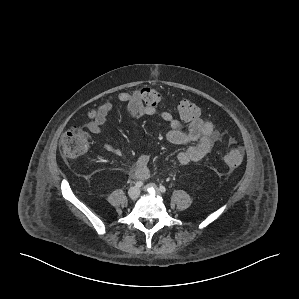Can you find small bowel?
I'll list each match as a JSON object with an SVG mask.
<instances>
[{
	"instance_id": "c3829d8e",
	"label": "small bowel",
	"mask_w": 299,
	"mask_h": 299,
	"mask_svg": "<svg viewBox=\"0 0 299 299\" xmlns=\"http://www.w3.org/2000/svg\"><path fill=\"white\" fill-rule=\"evenodd\" d=\"M116 100L126 105L129 115L134 119H140L144 116H157L164 120L169 127L166 134L167 140L173 144L187 146L177 155V161L181 165L200 161L210 153L220 139V134L215 130L210 120L199 116L184 126L170 112L159 110L157 106L147 105L141 98L140 89L121 92L117 95ZM114 106V100L108 98L97 108L93 120L88 124L90 132L98 134L101 131ZM103 147L112 154H120V150L110 143H105ZM148 164L149 157L147 155L140 156L134 165V176L138 179H147L150 175Z\"/></svg>"
}]
</instances>
